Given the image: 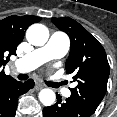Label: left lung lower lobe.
Segmentation results:
<instances>
[{"instance_id":"left-lung-lower-lobe-1","label":"left lung lower lobe","mask_w":117,"mask_h":117,"mask_svg":"<svg viewBox=\"0 0 117 117\" xmlns=\"http://www.w3.org/2000/svg\"><path fill=\"white\" fill-rule=\"evenodd\" d=\"M95 111L77 98L70 96L62 101L57 95V103L43 109V117H90Z\"/></svg>"}]
</instances>
